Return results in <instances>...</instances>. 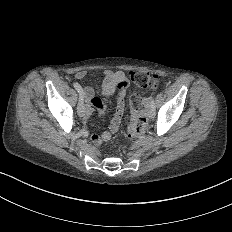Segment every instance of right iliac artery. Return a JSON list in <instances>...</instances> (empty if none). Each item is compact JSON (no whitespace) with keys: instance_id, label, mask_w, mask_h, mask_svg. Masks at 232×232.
Listing matches in <instances>:
<instances>
[{"instance_id":"82829eb1","label":"right iliac artery","mask_w":232,"mask_h":232,"mask_svg":"<svg viewBox=\"0 0 232 232\" xmlns=\"http://www.w3.org/2000/svg\"><path fill=\"white\" fill-rule=\"evenodd\" d=\"M73 86L77 90V92L79 93L80 100H83V89H82V87L77 82H74Z\"/></svg>"}]
</instances>
